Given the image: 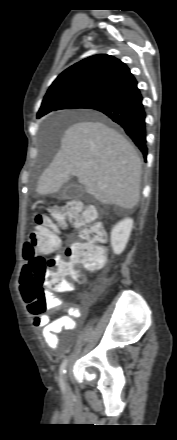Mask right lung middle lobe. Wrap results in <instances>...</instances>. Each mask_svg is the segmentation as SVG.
Segmentation results:
<instances>
[{
  "mask_svg": "<svg viewBox=\"0 0 177 440\" xmlns=\"http://www.w3.org/2000/svg\"><path fill=\"white\" fill-rule=\"evenodd\" d=\"M97 99L96 95L87 93L75 91L60 92L43 100L37 118L59 109L86 108Z\"/></svg>",
  "mask_w": 177,
  "mask_h": 440,
  "instance_id": "obj_1",
  "label": "right lung middle lobe"
}]
</instances>
